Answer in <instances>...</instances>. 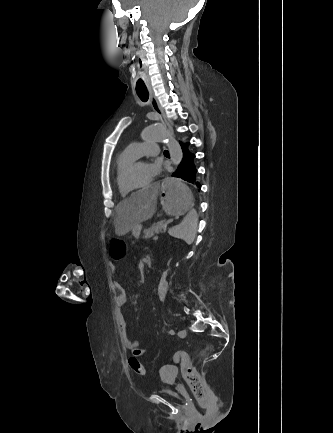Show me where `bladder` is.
<instances>
[{
    "instance_id": "obj_1",
    "label": "bladder",
    "mask_w": 333,
    "mask_h": 433,
    "mask_svg": "<svg viewBox=\"0 0 333 433\" xmlns=\"http://www.w3.org/2000/svg\"><path fill=\"white\" fill-rule=\"evenodd\" d=\"M157 392L160 395L171 398V399H177L180 396L175 390L170 389V388H166V387L158 388Z\"/></svg>"
}]
</instances>
